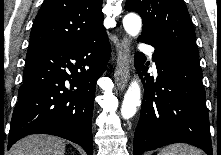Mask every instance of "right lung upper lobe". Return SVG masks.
<instances>
[{"instance_id":"cb5924a9","label":"right lung upper lobe","mask_w":221,"mask_h":155,"mask_svg":"<svg viewBox=\"0 0 221 155\" xmlns=\"http://www.w3.org/2000/svg\"><path fill=\"white\" fill-rule=\"evenodd\" d=\"M102 0H45L30 33L29 47L79 43L106 33Z\"/></svg>"}]
</instances>
